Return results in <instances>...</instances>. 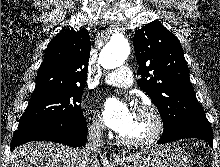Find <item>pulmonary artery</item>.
I'll return each instance as SVG.
<instances>
[{"mask_svg": "<svg viewBox=\"0 0 220 167\" xmlns=\"http://www.w3.org/2000/svg\"><path fill=\"white\" fill-rule=\"evenodd\" d=\"M103 81L108 85L120 88H129L133 84L131 71L126 66L107 73L104 75Z\"/></svg>", "mask_w": 220, "mask_h": 167, "instance_id": "e3ab8cb5", "label": "pulmonary artery"}]
</instances>
